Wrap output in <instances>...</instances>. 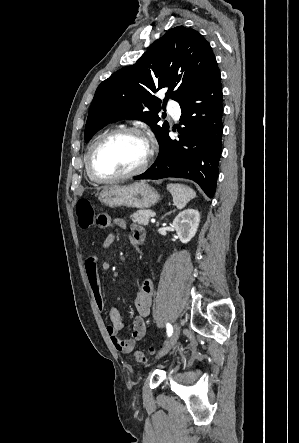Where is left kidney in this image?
<instances>
[{"label": "left kidney", "mask_w": 299, "mask_h": 443, "mask_svg": "<svg viewBox=\"0 0 299 443\" xmlns=\"http://www.w3.org/2000/svg\"><path fill=\"white\" fill-rule=\"evenodd\" d=\"M199 222L200 214L198 210L187 209L176 216L172 227L175 229L180 241L188 243L195 236Z\"/></svg>", "instance_id": "5707ae66"}]
</instances>
